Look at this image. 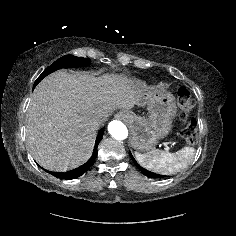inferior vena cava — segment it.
I'll list each match as a JSON object with an SVG mask.
<instances>
[{"label": "inferior vena cava", "mask_w": 236, "mask_h": 236, "mask_svg": "<svg viewBox=\"0 0 236 236\" xmlns=\"http://www.w3.org/2000/svg\"><path fill=\"white\" fill-rule=\"evenodd\" d=\"M100 125H101V121L100 120H97V119L93 120L92 126L94 128H98Z\"/></svg>", "instance_id": "obj_1"}]
</instances>
